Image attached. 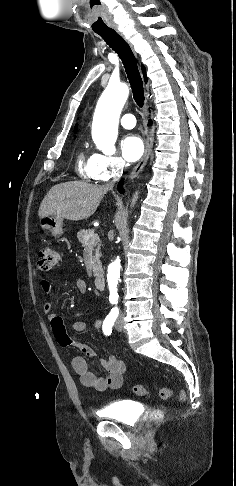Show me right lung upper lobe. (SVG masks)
I'll use <instances>...</instances> for the list:
<instances>
[{
	"label": "right lung upper lobe",
	"mask_w": 236,
	"mask_h": 486,
	"mask_svg": "<svg viewBox=\"0 0 236 486\" xmlns=\"http://www.w3.org/2000/svg\"><path fill=\"white\" fill-rule=\"evenodd\" d=\"M142 70H143V74H144V78H145V82H146V74H145V68L142 67ZM77 131V125L75 126V132Z\"/></svg>",
	"instance_id": "cb5924a9"
}]
</instances>
